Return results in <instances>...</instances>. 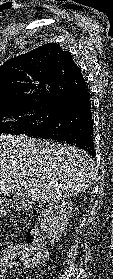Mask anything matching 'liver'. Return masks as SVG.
I'll list each match as a JSON object with an SVG mask.
<instances>
[{
	"label": "liver",
	"instance_id": "obj_1",
	"mask_svg": "<svg viewBox=\"0 0 113 279\" xmlns=\"http://www.w3.org/2000/svg\"><path fill=\"white\" fill-rule=\"evenodd\" d=\"M93 159L74 146L26 135H0V195L55 204L91 187Z\"/></svg>",
	"mask_w": 113,
	"mask_h": 279
}]
</instances>
